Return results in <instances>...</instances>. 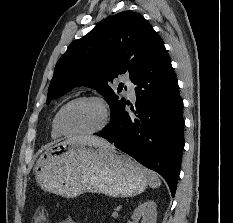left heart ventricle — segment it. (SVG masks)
<instances>
[{
	"label": "left heart ventricle",
	"instance_id": "obj_1",
	"mask_svg": "<svg viewBox=\"0 0 233 223\" xmlns=\"http://www.w3.org/2000/svg\"><path fill=\"white\" fill-rule=\"evenodd\" d=\"M104 122L100 105L93 101H80L69 106L62 116L63 127L72 133L90 132Z\"/></svg>",
	"mask_w": 233,
	"mask_h": 223
}]
</instances>
